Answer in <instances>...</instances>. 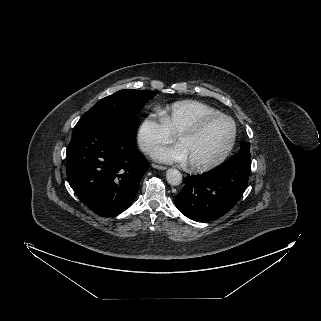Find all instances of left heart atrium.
<instances>
[{"label":"left heart atrium","instance_id":"1","mask_svg":"<svg viewBox=\"0 0 321 321\" xmlns=\"http://www.w3.org/2000/svg\"><path fill=\"white\" fill-rule=\"evenodd\" d=\"M152 157L164 163H184L189 160L187 150L181 143L172 147L157 148L152 152Z\"/></svg>","mask_w":321,"mask_h":321}]
</instances>
